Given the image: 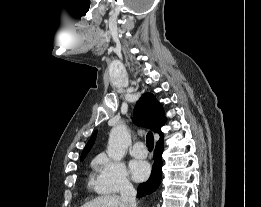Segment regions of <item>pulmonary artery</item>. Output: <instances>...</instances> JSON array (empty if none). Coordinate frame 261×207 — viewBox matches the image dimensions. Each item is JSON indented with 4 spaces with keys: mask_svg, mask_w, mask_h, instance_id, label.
I'll return each instance as SVG.
<instances>
[{
    "mask_svg": "<svg viewBox=\"0 0 261 207\" xmlns=\"http://www.w3.org/2000/svg\"><path fill=\"white\" fill-rule=\"evenodd\" d=\"M130 153L136 158H145L147 156V149L143 142L138 141L132 146Z\"/></svg>",
    "mask_w": 261,
    "mask_h": 207,
    "instance_id": "e3ab8cb5",
    "label": "pulmonary artery"
}]
</instances>
